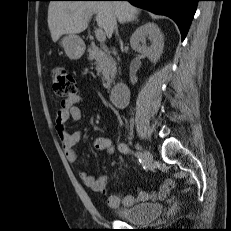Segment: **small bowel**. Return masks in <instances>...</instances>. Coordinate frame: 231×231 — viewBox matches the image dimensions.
I'll return each mask as SVG.
<instances>
[{
    "label": "small bowel",
    "mask_w": 231,
    "mask_h": 231,
    "mask_svg": "<svg viewBox=\"0 0 231 231\" xmlns=\"http://www.w3.org/2000/svg\"><path fill=\"white\" fill-rule=\"evenodd\" d=\"M81 97L75 94L61 103V107L57 111L55 131L59 137L62 147L67 160L70 163H74L77 160V153L74 146L81 139L80 131H70L67 124L68 122L78 121L81 118V110L77 106L80 102ZM93 147L98 151H105L109 154L114 153V146L111 138L106 136H99L94 138ZM78 175L84 184L95 192H101L107 194V203L110 207H116L120 204L131 205L135 202L146 201V200H161L167 197L170 191L174 187V181L171 178L165 179L158 190L154 192L140 191L136 197L127 195L122 196L118 193H107V181L106 176L93 177L85 171H79Z\"/></svg>",
    "instance_id": "1"
}]
</instances>
